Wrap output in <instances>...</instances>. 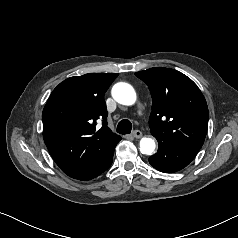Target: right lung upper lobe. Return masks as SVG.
Instances as JSON below:
<instances>
[{
  "instance_id": "1",
  "label": "right lung upper lobe",
  "mask_w": 238,
  "mask_h": 238,
  "mask_svg": "<svg viewBox=\"0 0 238 238\" xmlns=\"http://www.w3.org/2000/svg\"><path fill=\"white\" fill-rule=\"evenodd\" d=\"M116 73H89L70 77L51 93L42 113L44 142L59 168L77 180H90L121 140L103 122L107 118L104 94Z\"/></svg>"
}]
</instances>
